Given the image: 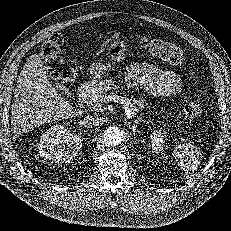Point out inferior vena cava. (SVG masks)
Instances as JSON below:
<instances>
[{
  "label": "inferior vena cava",
  "instance_id": "inferior-vena-cava-1",
  "mask_svg": "<svg viewBox=\"0 0 231 231\" xmlns=\"http://www.w3.org/2000/svg\"><path fill=\"white\" fill-rule=\"evenodd\" d=\"M102 122V119L98 116L88 115L84 117L82 124L85 127H94L98 126Z\"/></svg>",
  "mask_w": 231,
  "mask_h": 231
}]
</instances>
